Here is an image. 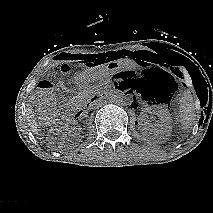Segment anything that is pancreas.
Wrapping results in <instances>:
<instances>
[{
  "label": "pancreas",
  "instance_id": "cf45deb5",
  "mask_svg": "<svg viewBox=\"0 0 213 213\" xmlns=\"http://www.w3.org/2000/svg\"><path fill=\"white\" fill-rule=\"evenodd\" d=\"M95 87L93 86H84L80 98L82 100H88L92 94L95 92Z\"/></svg>",
  "mask_w": 213,
  "mask_h": 213
}]
</instances>
